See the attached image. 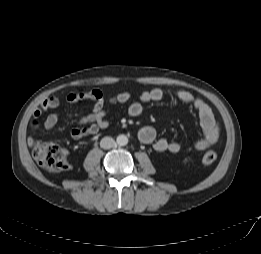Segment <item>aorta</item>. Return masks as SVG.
Returning <instances> with one entry per match:
<instances>
[{"label": "aorta", "mask_w": 261, "mask_h": 254, "mask_svg": "<svg viewBox=\"0 0 261 254\" xmlns=\"http://www.w3.org/2000/svg\"><path fill=\"white\" fill-rule=\"evenodd\" d=\"M116 142L119 146H125L128 143V137L124 134L117 136Z\"/></svg>", "instance_id": "1"}]
</instances>
